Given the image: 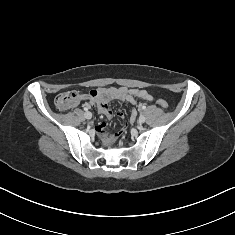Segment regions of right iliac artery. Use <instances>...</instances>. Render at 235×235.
Segmentation results:
<instances>
[{
    "label": "right iliac artery",
    "mask_w": 235,
    "mask_h": 235,
    "mask_svg": "<svg viewBox=\"0 0 235 235\" xmlns=\"http://www.w3.org/2000/svg\"><path fill=\"white\" fill-rule=\"evenodd\" d=\"M84 110H85L86 112H88V108H87V107H85Z\"/></svg>",
    "instance_id": "right-iliac-artery-1"
}]
</instances>
